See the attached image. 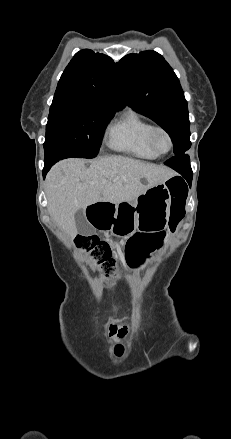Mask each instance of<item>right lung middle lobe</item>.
<instances>
[{
    "label": "right lung middle lobe",
    "mask_w": 231,
    "mask_h": 439,
    "mask_svg": "<svg viewBox=\"0 0 231 439\" xmlns=\"http://www.w3.org/2000/svg\"><path fill=\"white\" fill-rule=\"evenodd\" d=\"M118 110L94 105L50 107L44 143L45 161L96 157L104 130Z\"/></svg>",
    "instance_id": "obj_1"
}]
</instances>
